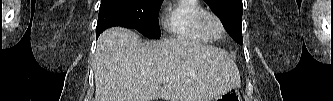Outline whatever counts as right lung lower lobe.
Wrapping results in <instances>:
<instances>
[{
    "mask_svg": "<svg viewBox=\"0 0 333 101\" xmlns=\"http://www.w3.org/2000/svg\"><path fill=\"white\" fill-rule=\"evenodd\" d=\"M114 26H122L129 28L127 18L120 12L118 8L111 4L100 6L99 17L96 27V38L107 28Z\"/></svg>",
    "mask_w": 333,
    "mask_h": 101,
    "instance_id": "obj_1",
    "label": "right lung lower lobe"
}]
</instances>
